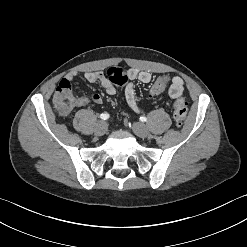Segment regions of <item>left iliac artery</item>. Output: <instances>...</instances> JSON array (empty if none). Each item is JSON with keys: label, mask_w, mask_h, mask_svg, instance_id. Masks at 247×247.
I'll return each mask as SVG.
<instances>
[{"label": "left iliac artery", "mask_w": 247, "mask_h": 247, "mask_svg": "<svg viewBox=\"0 0 247 247\" xmlns=\"http://www.w3.org/2000/svg\"><path fill=\"white\" fill-rule=\"evenodd\" d=\"M140 121H142V122H146V121H147V118H146V117H144V116H142V117H140Z\"/></svg>", "instance_id": "1"}]
</instances>
